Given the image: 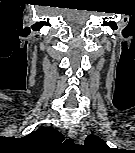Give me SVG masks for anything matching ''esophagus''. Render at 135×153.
Listing matches in <instances>:
<instances>
[{
	"label": "esophagus",
	"mask_w": 135,
	"mask_h": 153,
	"mask_svg": "<svg viewBox=\"0 0 135 153\" xmlns=\"http://www.w3.org/2000/svg\"><path fill=\"white\" fill-rule=\"evenodd\" d=\"M68 136L72 139H76L77 137V130L75 127H71L68 131Z\"/></svg>",
	"instance_id": "34e87169"
}]
</instances>
